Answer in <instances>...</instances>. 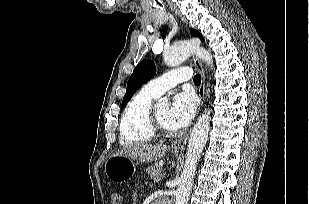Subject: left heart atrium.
Listing matches in <instances>:
<instances>
[{
    "instance_id": "39dd6f15",
    "label": "left heart atrium",
    "mask_w": 309,
    "mask_h": 204,
    "mask_svg": "<svg viewBox=\"0 0 309 204\" xmlns=\"http://www.w3.org/2000/svg\"><path fill=\"white\" fill-rule=\"evenodd\" d=\"M197 108L195 96L190 92H181L174 96L168 114L170 129L181 130L192 121Z\"/></svg>"
}]
</instances>
